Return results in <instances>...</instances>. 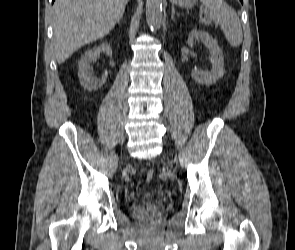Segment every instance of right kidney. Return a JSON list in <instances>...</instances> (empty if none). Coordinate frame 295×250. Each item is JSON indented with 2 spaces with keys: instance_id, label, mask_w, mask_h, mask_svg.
<instances>
[{
  "instance_id": "1",
  "label": "right kidney",
  "mask_w": 295,
  "mask_h": 250,
  "mask_svg": "<svg viewBox=\"0 0 295 250\" xmlns=\"http://www.w3.org/2000/svg\"><path fill=\"white\" fill-rule=\"evenodd\" d=\"M102 52L111 56V46L108 43H102L97 47L87 50L78 63V76L80 83L85 89L89 91L97 90L105 83L107 79L106 75L102 76L101 79H97L93 77L91 72V63L96 61L97 57Z\"/></svg>"
}]
</instances>
